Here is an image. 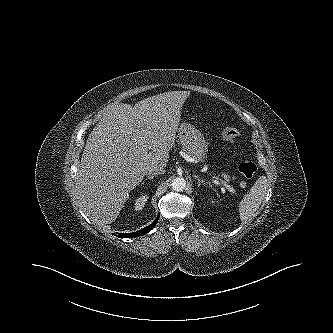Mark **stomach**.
Wrapping results in <instances>:
<instances>
[{
	"mask_svg": "<svg viewBox=\"0 0 333 333\" xmlns=\"http://www.w3.org/2000/svg\"><path fill=\"white\" fill-rule=\"evenodd\" d=\"M178 137L183 150L196 162H204L207 152V143L203 134L188 122H181L178 128Z\"/></svg>",
	"mask_w": 333,
	"mask_h": 333,
	"instance_id": "1",
	"label": "stomach"
}]
</instances>
